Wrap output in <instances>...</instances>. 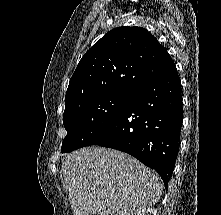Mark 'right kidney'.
Returning a JSON list of instances; mask_svg holds the SVG:
<instances>
[{
  "instance_id": "right-kidney-1",
  "label": "right kidney",
  "mask_w": 221,
  "mask_h": 215,
  "mask_svg": "<svg viewBox=\"0 0 221 215\" xmlns=\"http://www.w3.org/2000/svg\"><path fill=\"white\" fill-rule=\"evenodd\" d=\"M133 215H157V210L152 207L144 208L138 212H135Z\"/></svg>"
}]
</instances>
